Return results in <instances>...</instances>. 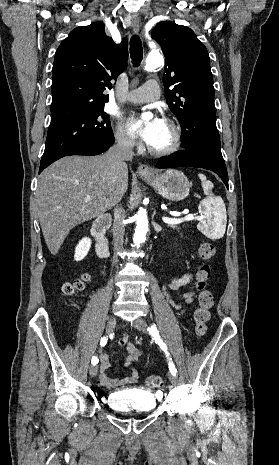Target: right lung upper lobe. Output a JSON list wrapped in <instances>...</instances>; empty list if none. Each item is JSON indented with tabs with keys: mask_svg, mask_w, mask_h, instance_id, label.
<instances>
[{
	"mask_svg": "<svg viewBox=\"0 0 279 465\" xmlns=\"http://www.w3.org/2000/svg\"><path fill=\"white\" fill-rule=\"evenodd\" d=\"M97 22L72 30L58 47L52 69L51 124L104 107L111 80L127 67L128 43H114Z\"/></svg>",
	"mask_w": 279,
	"mask_h": 465,
	"instance_id": "right-lung-upper-lobe-1",
	"label": "right lung upper lobe"
}]
</instances>
